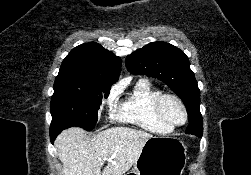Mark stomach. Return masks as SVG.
<instances>
[{
    "instance_id": "1",
    "label": "stomach",
    "mask_w": 251,
    "mask_h": 175,
    "mask_svg": "<svg viewBox=\"0 0 251 175\" xmlns=\"http://www.w3.org/2000/svg\"><path fill=\"white\" fill-rule=\"evenodd\" d=\"M186 145L180 137L152 135L127 175H182L187 161Z\"/></svg>"
}]
</instances>
